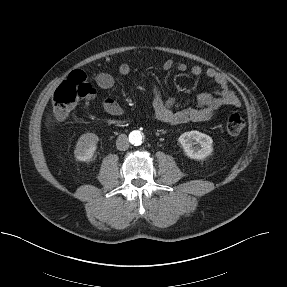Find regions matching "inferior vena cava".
<instances>
[{
    "label": "inferior vena cava",
    "mask_w": 287,
    "mask_h": 287,
    "mask_svg": "<svg viewBox=\"0 0 287 287\" xmlns=\"http://www.w3.org/2000/svg\"><path fill=\"white\" fill-rule=\"evenodd\" d=\"M116 147L120 151H125L129 147L128 137L125 134H121L118 136L116 140Z\"/></svg>",
    "instance_id": "inferior-vena-cava-1"
}]
</instances>
